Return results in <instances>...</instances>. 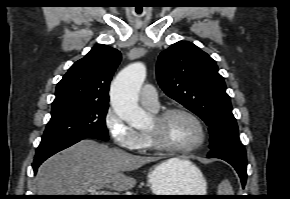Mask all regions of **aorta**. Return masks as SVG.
<instances>
[{
	"label": "aorta",
	"instance_id": "1",
	"mask_svg": "<svg viewBox=\"0 0 290 199\" xmlns=\"http://www.w3.org/2000/svg\"><path fill=\"white\" fill-rule=\"evenodd\" d=\"M145 78V65L140 62L133 63L119 72L110 90L114 111L137 129L146 127L150 122L148 113L138 105V93Z\"/></svg>",
	"mask_w": 290,
	"mask_h": 199
}]
</instances>
